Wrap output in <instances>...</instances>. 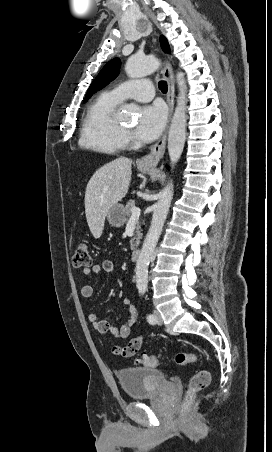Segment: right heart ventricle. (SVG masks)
I'll list each match as a JSON object with an SVG mask.
<instances>
[{"instance_id":"right-heart-ventricle-1","label":"right heart ventricle","mask_w":272,"mask_h":452,"mask_svg":"<svg viewBox=\"0 0 272 452\" xmlns=\"http://www.w3.org/2000/svg\"><path fill=\"white\" fill-rule=\"evenodd\" d=\"M119 102L109 92L96 98L82 123L80 147L104 154H115L124 149L125 135L114 117Z\"/></svg>"}]
</instances>
